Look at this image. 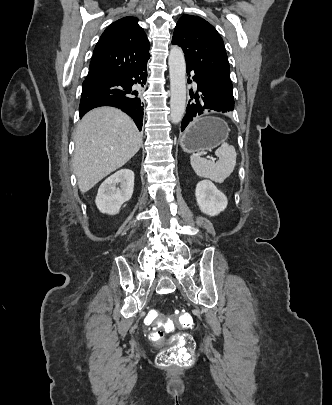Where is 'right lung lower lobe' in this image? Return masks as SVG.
I'll return each mask as SVG.
<instances>
[{"label": "right lung lower lobe", "mask_w": 332, "mask_h": 405, "mask_svg": "<svg viewBox=\"0 0 332 405\" xmlns=\"http://www.w3.org/2000/svg\"><path fill=\"white\" fill-rule=\"evenodd\" d=\"M147 62L130 70L88 77L83 81L79 115L99 106H113L127 113L142 128L143 102L134 85L144 87Z\"/></svg>", "instance_id": "1"}]
</instances>
